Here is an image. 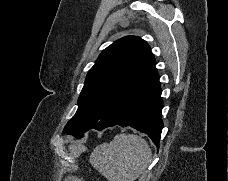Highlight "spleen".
<instances>
[{
    "mask_svg": "<svg viewBox=\"0 0 228 181\" xmlns=\"http://www.w3.org/2000/svg\"><path fill=\"white\" fill-rule=\"evenodd\" d=\"M90 163L108 181H136L151 163V149L138 135H116L90 155Z\"/></svg>",
    "mask_w": 228,
    "mask_h": 181,
    "instance_id": "spleen-1",
    "label": "spleen"
}]
</instances>
